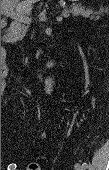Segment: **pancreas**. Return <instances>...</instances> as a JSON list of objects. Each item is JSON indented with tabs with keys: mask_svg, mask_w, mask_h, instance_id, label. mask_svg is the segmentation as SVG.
I'll list each match as a JSON object with an SVG mask.
<instances>
[{
	"mask_svg": "<svg viewBox=\"0 0 109 170\" xmlns=\"http://www.w3.org/2000/svg\"><path fill=\"white\" fill-rule=\"evenodd\" d=\"M72 13L74 16H82L84 18H90V19H98L101 16V13L97 12V11H93L92 9H86L82 6H78V5H73L72 9L67 10L64 9L63 10V14L64 13Z\"/></svg>",
	"mask_w": 109,
	"mask_h": 170,
	"instance_id": "obj_1",
	"label": "pancreas"
}]
</instances>
